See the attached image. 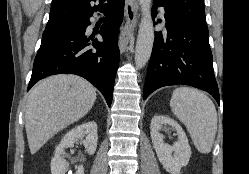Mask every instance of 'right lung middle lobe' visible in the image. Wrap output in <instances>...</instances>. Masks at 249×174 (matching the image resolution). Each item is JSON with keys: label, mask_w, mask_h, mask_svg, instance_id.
<instances>
[{"label": "right lung middle lobe", "mask_w": 249, "mask_h": 174, "mask_svg": "<svg viewBox=\"0 0 249 174\" xmlns=\"http://www.w3.org/2000/svg\"><path fill=\"white\" fill-rule=\"evenodd\" d=\"M60 25L58 26H54V27H46L44 33H43V36H42V41H45L46 39L49 38V36L54 32V30L59 27Z\"/></svg>", "instance_id": "1"}]
</instances>
